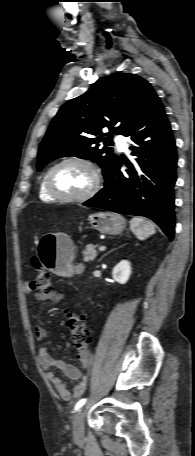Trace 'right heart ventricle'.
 <instances>
[{
	"instance_id": "1",
	"label": "right heart ventricle",
	"mask_w": 195,
	"mask_h": 456,
	"mask_svg": "<svg viewBox=\"0 0 195 456\" xmlns=\"http://www.w3.org/2000/svg\"><path fill=\"white\" fill-rule=\"evenodd\" d=\"M38 192H39V197L41 200L43 201H46V202H51V201H54L55 199L53 197H51L46 189H45V186H44V177L41 179L40 183H39V189H38Z\"/></svg>"
}]
</instances>
